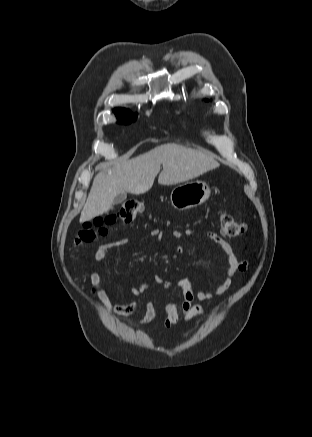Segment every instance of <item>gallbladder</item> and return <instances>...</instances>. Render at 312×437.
I'll use <instances>...</instances> for the list:
<instances>
[{
	"label": "gallbladder",
	"mask_w": 312,
	"mask_h": 437,
	"mask_svg": "<svg viewBox=\"0 0 312 437\" xmlns=\"http://www.w3.org/2000/svg\"><path fill=\"white\" fill-rule=\"evenodd\" d=\"M126 198H127V193L126 192L120 193V194H118L115 197L114 203L115 204H120V203L124 202L126 200Z\"/></svg>",
	"instance_id": "obj_1"
}]
</instances>
